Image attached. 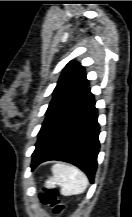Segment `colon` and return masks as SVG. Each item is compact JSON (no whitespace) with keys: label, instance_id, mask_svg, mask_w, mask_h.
I'll list each match as a JSON object with an SVG mask.
<instances>
[{"label":"colon","instance_id":"1","mask_svg":"<svg viewBox=\"0 0 132 217\" xmlns=\"http://www.w3.org/2000/svg\"><path fill=\"white\" fill-rule=\"evenodd\" d=\"M40 200L43 204L52 207L56 214H60L64 210V205L58 198V191L55 189H44L40 194Z\"/></svg>","mask_w":132,"mask_h":217}]
</instances>
